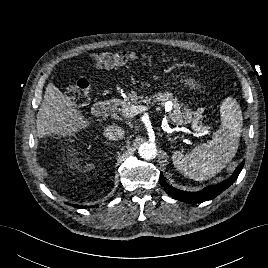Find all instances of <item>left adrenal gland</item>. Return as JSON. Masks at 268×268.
Returning a JSON list of instances; mask_svg holds the SVG:
<instances>
[{
	"mask_svg": "<svg viewBox=\"0 0 268 268\" xmlns=\"http://www.w3.org/2000/svg\"><path fill=\"white\" fill-rule=\"evenodd\" d=\"M168 137V141H173L169 136H167Z\"/></svg>",
	"mask_w": 268,
	"mask_h": 268,
	"instance_id": "a2214340",
	"label": "left adrenal gland"
}]
</instances>
